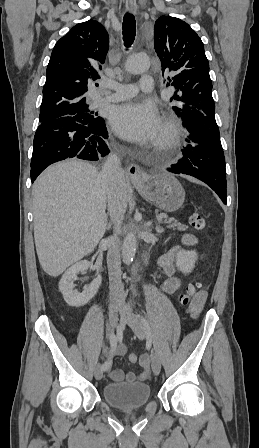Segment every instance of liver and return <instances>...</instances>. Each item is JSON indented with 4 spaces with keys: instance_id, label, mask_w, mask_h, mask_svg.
Masks as SVG:
<instances>
[{
    "instance_id": "obj_1",
    "label": "liver",
    "mask_w": 259,
    "mask_h": 448,
    "mask_svg": "<svg viewBox=\"0 0 259 448\" xmlns=\"http://www.w3.org/2000/svg\"><path fill=\"white\" fill-rule=\"evenodd\" d=\"M34 240L40 266L49 276L88 256L107 228V192L85 160L46 168L32 188Z\"/></svg>"
}]
</instances>
